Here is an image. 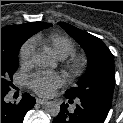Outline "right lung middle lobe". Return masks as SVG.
Here are the masks:
<instances>
[{"label": "right lung middle lobe", "mask_w": 123, "mask_h": 123, "mask_svg": "<svg viewBox=\"0 0 123 123\" xmlns=\"http://www.w3.org/2000/svg\"><path fill=\"white\" fill-rule=\"evenodd\" d=\"M36 31H25L16 36L10 44L1 46V91H9L12 76L18 68V52L22 44Z\"/></svg>", "instance_id": "right-lung-middle-lobe-1"}]
</instances>
